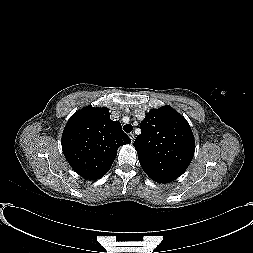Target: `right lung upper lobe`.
I'll return each instance as SVG.
<instances>
[{
    "mask_svg": "<svg viewBox=\"0 0 253 253\" xmlns=\"http://www.w3.org/2000/svg\"><path fill=\"white\" fill-rule=\"evenodd\" d=\"M131 143L108 108L85 107L67 122L62 134L66 160L80 176L96 180L111 168L119 146Z\"/></svg>",
    "mask_w": 253,
    "mask_h": 253,
    "instance_id": "cb5924a9",
    "label": "right lung upper lobe"
}]
</instances>
